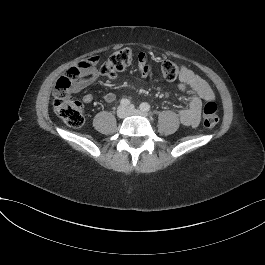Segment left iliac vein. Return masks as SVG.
Here are the masks:
<instances>
[{"mask_svg":"<svg viewBox=\"0 0 265 265\" xmlns=\"http://www.w3.org/2000/svg\"><path fill=\"white\" fill-rule=\"evenodd\" d=\"M128 110V115H139L143 117H148V114L142 110L134 109V108H129Z\"/></svg>","mask_w":265,"mask_h":265,"instance_id":"4c4485c4","label":"left iliac vein"}]
</instances>
